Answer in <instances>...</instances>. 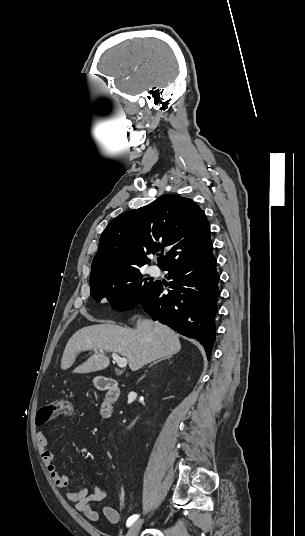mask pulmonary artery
<instances>
[{
	"label": "pulmonary artery",
	"instance_id": "pulmonary-artery-1",
	"mask_svg": "<svg viewBox=\"0 0 305 536\" xmlns=\"http://www.w3.org/2000/svg\"><path fill=\"white\" fill-rule=\"evenodd\" d=\"M152 272L154 274H158L160 271H159V269L157 267H155V268L152 269Z\"/></svg>",
	"mask_w": 305,
	"mask_h": 536
}]
</instances>
